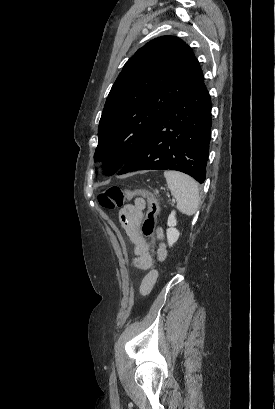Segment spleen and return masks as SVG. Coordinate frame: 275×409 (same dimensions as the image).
I'll list each match as a JSON object with an SVG mask.
<instances>
[{
    "label": "spleen",
    "instance_id": "3e777b00",
    "mask_svg": "<svg viewBox=\"0 0 275 409\" xmlns=\"http://www.w3.org/2000/svg\"><path fill=\"white\" fill-rule=\"evenodd\" d=\"M164 176L171 194L176 198L178 211L183 215H194L200 200L198 182L178 170H165Z\"/></svg>",
    "mask_w": 275,
    "mask_h": 409
}]
</instances>
